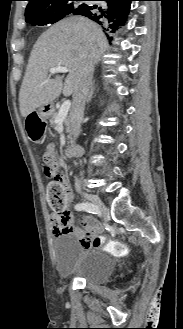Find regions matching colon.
I'll return each instance as SVG.
<instances>
[{
	"label": "colon",
	"mask_w": 183,
	"mask_h": 329,
	"mask_svg": "<svg viewBox=\"0 0 183 329\" xmlns=\"http://www.w3.org/2000/svg\"><path fill=\"white\" fill-rule=\"evenodd\" d=\"M44 172L51 179L47 186L49 207L52 214L63 218L68 213L69 189L63 181L59 168L53 165L49 157L44 158ZM93 242L96 247L107 248L117 255H123L127 252L124 245L118 242H109L103 236H96Z\"/></svg>",
	"instance_id": "obj_1"
}]
</instances>
